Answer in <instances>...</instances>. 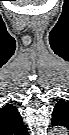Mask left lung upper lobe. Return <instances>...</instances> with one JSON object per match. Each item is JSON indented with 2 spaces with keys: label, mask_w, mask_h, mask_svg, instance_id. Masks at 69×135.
Masks as SVG:
<instances>
[{
  "label": "left lung upper lobe",
  "mask_w": 69,
  "mask_h": 135,
  "mask_svg": "<svg viewBox=\"0 0 69 135\" xmlns=\"http://www.w3.org/2000/svg\"><path fill=\"white\" fill-rule=\"evenodd\" d=\"M67 102H65L64 100H60L57 102L54 110H53V114H52V123H54L56 121L57 118H60L61 116H63V113L65 109L67 108ZM54 125V124H53Z\"/></svg>",
  "instance_id": "5c2ea615"
}]
</instances>
